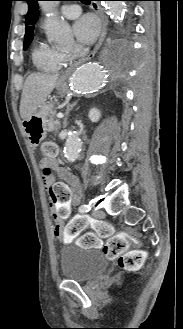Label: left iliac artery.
Listing matches in <instances>:
<instances>
[{"label": "left iliac artery", "instance_id": "1", "mask_svg": "<svg viewBox=\"0 0 183 329\" xmlns=\"http://www.w3.org/2000/svg\"><path fill=\"white\" fill-rule=\"evenodd\" d=\"M90 210H91V207H90V205H87V204L81 205V207L79 208L80 213H86V212H89Z\"/></svg>", "mask_w": 183, "mask_h": 329}]
</instances>
